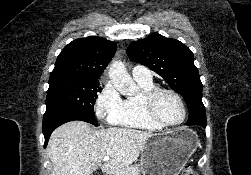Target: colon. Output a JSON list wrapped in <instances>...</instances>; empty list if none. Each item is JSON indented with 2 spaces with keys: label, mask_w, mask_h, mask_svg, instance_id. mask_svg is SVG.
Here are the masks:
<instances>
[{
  "label": "colon",
  "mask_w": 251,
  "mask_h": 175,
  "mask_svg": "<svg viewBox=\"0 0 251 175\" xmlns=\"http://www.w3.org/2000/svg\"><path fill=\"white\" fill-rule=\"evenodd\" d=\"M181 175H198V173L190 166H186L183 170Z\"/></svg>",
  "instance_id": "colon-1"
}]
</instances>
